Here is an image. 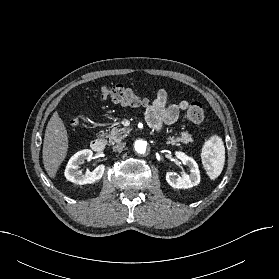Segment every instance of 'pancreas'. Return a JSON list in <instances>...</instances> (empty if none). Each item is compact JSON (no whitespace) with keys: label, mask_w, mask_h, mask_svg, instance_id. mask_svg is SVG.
I'll use <instances>...</instances> for the list:
<instances>
[{"label":"pancreas","mask_w":279,"mask_h":279,"mask_svg":"<svg viewBox=\"0 0 279 279\" xmlns=\"http://www.w3.org/2000/svg\"><path fill=\"white\" fill-rule=\"evenodd\" d=\"M128 130L126 128H119V127H113L109 133H102L101 137H105L108 139V142L110 144H115L117 142H120L127 136ZM193 139L188 132L184 131L181 132V136H169L167 138V143L171 145L180 146L181 143H189L192 142Z\"/></svg>","instance_id":"1"}]
</instances>
